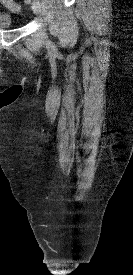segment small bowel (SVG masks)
<instances>
[{"label": "small bowel", "instance_id": "1", "mask_svg": "<svg viewBox=\"0 0 133 275\" xmlns=\"http://www.w3.org/2000/svg\"><path fill=\"white\" fill-rule=\"evenodd\" d=\"M0 2L5 4L8 8H9L10 3H14L12 0H0Z\"/></svg>", "mask_w": 133, "mask_h": 275}]
</instances>
